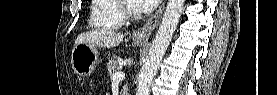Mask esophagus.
I'll list each match as a JSON object with an SVG mask.
<instances>
[{
  "label": "esophagus",
  "instance_id": "obj_1",
  "mask_svg": "<svg viewBox=\"0 0 277 95\" xmlns=\"http://www.w3.org/2000/svg\"><path fill=\"white\" fill-rule=\"evenodd\" d=\"M166 1H163L162 5L159 9L147 20V22L139 29H137L133 36L136 39H147L151 35L152 31L158 26L164 8H165Z\"/></svg>",
  "mask_w": 277,
  "mask_h": 95
}]
</instances>
